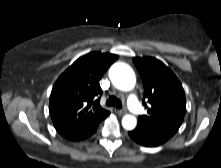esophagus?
<instances>
[{"instance_id": "esophagus-1", "label": "esophagus", "mask_w": 221, "mask_h": 168, "mask_svg": "<svg viewBox=\"0 0 221 168\" xmlns=\"http://www.w3.org/2000/svg\"><path fill=\"white\" fill-rule=\"evenodd\" d=\"M115 112L119 115L125 114L127 111L125 109H115Z\"/></svg>"}]
</instances>
